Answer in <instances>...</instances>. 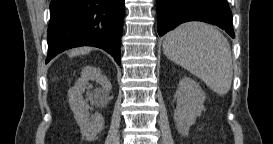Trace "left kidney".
<instances>
[{"label":"left kidney","mask_w":273,"mask_h":144,"mask_svg":"<svg viewBox=\"0 0 273 144\" xmlns=\"http://www.w3.org/2000/svg\"><path fill=\"white\" fill-rule=\"evenodd\" d=\"M175 97L177 106L174 110V120L179 133L186 136L190 126L195 123L204 109L206 95L195 81L184 77L179 81Z\"/></svg>","instance_id":"obj_1"}]
</instances>
